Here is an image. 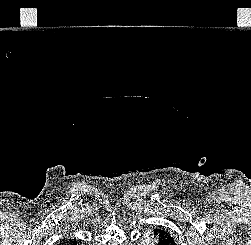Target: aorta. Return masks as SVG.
I'll list each match as a JSON object with an SVG mask.
<instances>
[{
  "label": "aorta",
  "mask_w": 251,
  "mask_h": 245,
  "mask_svg": "<svg viewBox=\"0 0 251 245\" xmlns=\"http://www.w3.org/2000/svg\"><path fill=\"white\" fill-rule=\"evenodd\" d=\"M154 243V234L150 230L144 233L141 239V245H153Z\"/></svg>",
  "instance_id": "1"
}]
</instances>
